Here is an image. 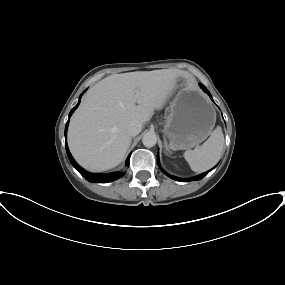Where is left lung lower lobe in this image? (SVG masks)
<instances>
[{"instance_id": "1", "label": "left lung lower lobe", "mask_w": 285, "mask_h": 285, "mask_svg": "<svg viewBox=\"0 0 285 285\" xmlns=\"http://www.w3.org/2000/svg\"><path fill=\"white\" fill-rule=\"evenodd\" d=\"M201 88L211 97V94L210 92L207 90V88L200 84ZM159 163V162H158ZM211 170L205 172V173H202L194 178H190V179H181V178H178V177H174V176H171L169 175L168 173L164 172L167 176H169L170 178L174 179V180H177V181H183V182H189V181H193V180H200L202 179L204 176H206Z\"/></svg>"}]
</instances>
